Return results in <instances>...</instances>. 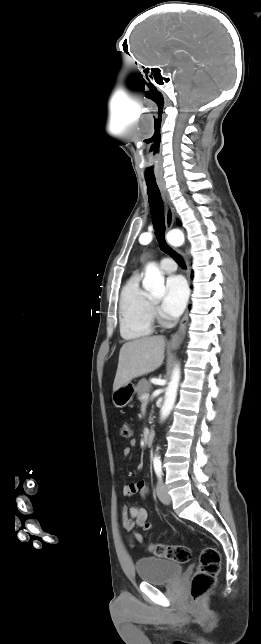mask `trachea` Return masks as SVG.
Listing matches in <instances>:
<instances>
[{
    "instance_id": "3493384b",
    "label": "trachea",
    "mask_w": 261,
    "mask_h": 644,
    "mask_svg": "<svg viewBox=\"0 0 261 644\" xmlns=\"http://www.w3.org/2000/svg\"><path fill=\"white\" fill-rule=\"evenodd\" d=\"M147 194L152 214L155 235L161 248L170 253L175 261L183 268L186 267L184 260L180 255L173 251L165 241V221L161 194L155 180H146Z\"/></svg>"
}]
</instances>
